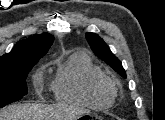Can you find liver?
I'll return each mask as SVG.
<instances>
[{"instance_id":"6515ba94","label":"liver","mask_w":165,"mask_h":120,"mask_svg":"<svg viewBox=\"0 0 165 120\" xmlns=\"http://www.w3.org/2000/svg\"><path fill=\"white\" fill-rule=\"evenodd\" d=\"M82 109L64 106H45L41 104H12L0 111V120H54V118L73 119Z\"/></svg>"}]
</instances>
